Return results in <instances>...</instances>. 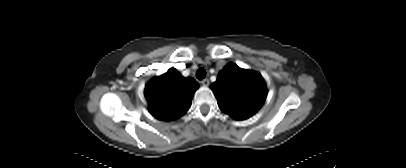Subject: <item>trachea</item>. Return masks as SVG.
Instances as JSON below:
<instances>
[{"instance_id": "1", "label": "trachea", "mask_w": 406, "mask_h": 168, "mask_svg": "<svg viewBox=\"0 0 406 168\" xmlns=\"http://www.w3.org/2000/svg\"><path fill=\"white\" fill-rule=\"evenodd\" d=\"M196 77H197L199 80L204 79V78L206 77V70L203 69V68L198 69L197 72H196Z\"/></svg>"}]
</instances>
